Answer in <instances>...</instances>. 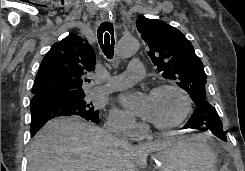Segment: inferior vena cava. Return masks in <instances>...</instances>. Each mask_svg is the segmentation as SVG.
<instances>
[{
    "instance_id": "1",
    "label": "inferior vena cava",
    "mask_w": 245,
    "mask_h": 171,
    "mask_svg": "<svg viewBox=\"0 0 245 171\" xmlns=\"http://www.w3.org/2000/svg\"><path fill=\"white\" fill-rule=\"evenodd\" d=\"M106 129L108 131H113V128L111 126H109V125H106ZM120 140L123 141L124 143H128L125 135H121L120 136Z\"/></svg>"
}]
</instances>
